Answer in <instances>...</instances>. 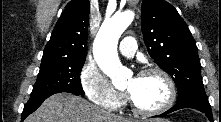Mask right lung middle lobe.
Instances as JSON below:
<instances>
[{"instance_id": "obj_1", "label": "right lung middle lobe", "mask_w": 221, "mask_h": 122, "mask_svg": "<svg viewBox=\"0 0 221 122\" xmlns=\"http://www.w3.org/2000/svg\"><path fill=\"white\" fill-rule=\"evenodd\" d=\"M85 59L42 60L31 98L52 92H73L84 95L80 72Z\"/></svg>"}]
</instances>
